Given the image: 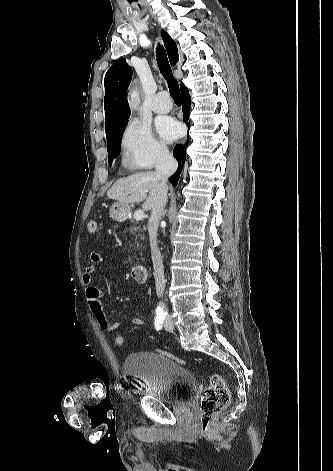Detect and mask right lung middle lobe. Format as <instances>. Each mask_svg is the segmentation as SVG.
<instances>
[{"label":"right lung middle lobe","instance_id":"dd1d6c3e","mask_svg":"<svg viewBox=\"0 0 333 471\" xmlns=\"http://www.w3.org/2000/svg\"><path fill=\"white\" fill-rule=\"evenodd\" d=\"M127 123H128V120L122 123H119L113 126L108 131H106L108 161L110 165L112 164L113 159L116 158L120 153L122 135H123V132L125 130Z\"/></svg>","mask_w":333,"mask_h":471}]
</instances>
